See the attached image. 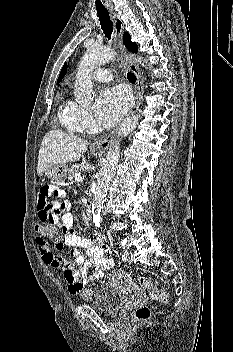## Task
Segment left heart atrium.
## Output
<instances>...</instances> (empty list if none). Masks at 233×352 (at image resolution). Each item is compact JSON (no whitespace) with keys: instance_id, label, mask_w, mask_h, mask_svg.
<instances>
[{"instance_id":"1","label":"left heart atrium","mask_w":233,"mask_h":352,"mask_svg":"<svg viewBox=\"0 0 233 352\" xmlns=\"http://www.w3.org/2000/svg\"><path fill=\"white\" fill-rule=\"evenodd\" d=\"M130 104L128 92L120 86L103 89L96 101V114L104 126H112L127 111Z\"/></svg>"}]
</instances>
